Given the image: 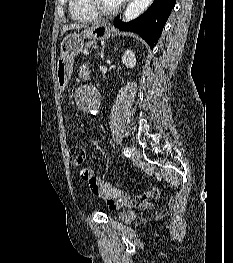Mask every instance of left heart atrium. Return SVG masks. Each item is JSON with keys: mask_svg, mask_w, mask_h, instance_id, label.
<instances>
[{"mask_svg": "<svg viewBox=\"0 0 233 263\" xmlns=\"http://www.w3.org/2000/svg\"><path fill=\"white\" fill-rule=\"evenodd\" d=\"M122 1H124V0H119V2H122Z\"/></svg>", "mask_w": 233, "mask_h": 263, "instance_id": "obj_1", "label": "left heart atrium"}]
</instances>
